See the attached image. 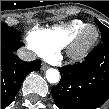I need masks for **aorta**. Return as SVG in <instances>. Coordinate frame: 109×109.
<instances>
[{
  "label": "aorta",
  "mask_w": 109,
  "mask_h": 109,
  "mask_svg": "<svg viewBox=\"0 0 109 109\" xmlns=\"http://www.w3.org/2000/svg\"><path fill=\"white\" fill-rule=\"evenodd\" d=\"M46 79L49 83L55 84L60 80V73L57 69L50 68L46 71Z\"/></svg>",
  "instance_id": "obj_1"
}]
</instances>
